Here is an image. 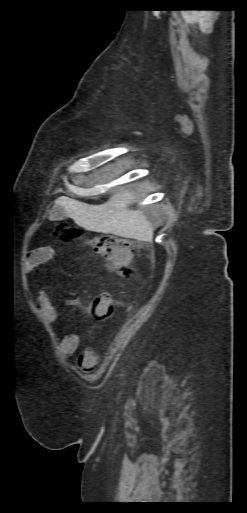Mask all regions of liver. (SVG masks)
<instances>
[{"instance_id": "liver-1", "label": "liver", "mask_w": 247, "mask_h": 513, "mask_svg": "<svg viewBox=\"0 0 247 513\" xmlns=\"http://www.w3.org/2000/svg\"><path fill=\"white\" fill-rule=\"evenodd\" d=\"M134 193L119 190L102 205H89L61 196L53 207H62L74 222L89 231L110 233L125 238L151 241L154 228L141 210H133ZM51 212L49 219L52 220Z\"/></svg>"}]
</instances>
